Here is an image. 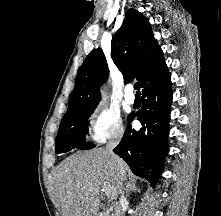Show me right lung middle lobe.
Instances as JSON below:
<instances>
[{
    "label": "right lung middle lobe",
    "instance_id": "right-lung-middle-lobe-1",
    "mask_svg": "<svg viewBox=\"0 0 221 216\" xmlns=\"http://www.w3.org/2000/svg\"><path fill=\"white\" fill-rule=\"evenodd\" d=\"M94 109L62 119L55 141L56 153L68 152L74 148L85 150L95 147L94 144L84 142L85 134L88 132V119Z\"/></svg>",
    "mask_w": 221,
    "mask_h": 216
}]
</instances>
